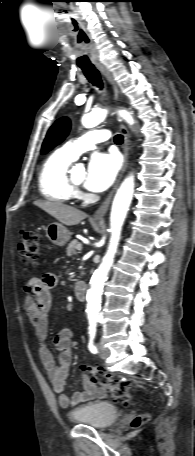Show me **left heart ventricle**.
<instances>
[{"instance_id": "obj_1", "label": "left heart ventricle", "mask_w": 195, "mask_h": 456, "mask_svg": "<svg viewBox=\"0 0 195 456\" xmlns=\"http://www.w3.org/2000/svg\"><path fill=\"white\" fill-rule=\"evenodd\" d=\"M85 171L84 170H75L71 177L73 179L74 182L78 183V184H82L85 180Z\"/></svg>"}]
</instances>
